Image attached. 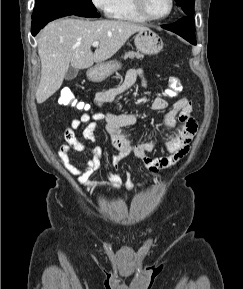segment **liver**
<instances>
[{"label":"liver","instance_id":"6515ba94","mask_svg":"<svg viewBox=\"0 0 243 289\" xmlns=\"http://www.w3.org/2000/svg\"><path fill=\"white\" fill-rule=\"evenodd\" d=\"M146 27L121 20L62 18L50 22L37 40L41 79L36 91L38 104L46 101L62 85L70 67L86 69L111 58L136 32ZM99 45L93 53L92 43Z\"/></svg>","mask_w":243,"mask_h":289}]
</instances>
